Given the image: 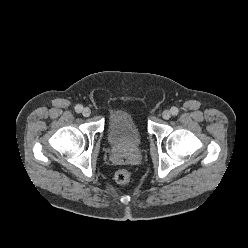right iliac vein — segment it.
<instances>
[{"label":"right iliac vein","mask_w":248,"mask_h":248,"mask_svg":"<svg viewBox=\"0 0 248 248\" xmlns=\"http://www.w3.org/2000/svg\"><path fill=\"white\" fill-rule=\"evenodd\" d=\"M82 114L83 116L88 117L91 114V110L88 107H86L82 110Z\"/></svg>","instance_id":"1"}]
</instances>
